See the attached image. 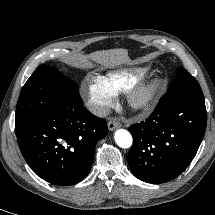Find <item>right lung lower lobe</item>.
I'll list each match as a JSON object with an SVG mask.
<instances>
[{
  "mask_svg": "<svg viewBox=\"0 0 215 215\" xmlns=\"http://www.w3.org/2000/svg\"><path fill=\"white\" fill-rule=\"evenodd\" d=\"M108 128L83 105L78 88L51 101L35 120L16 134L28 165L55 185H73L89 173L98 140Z\"/></svg>",
  "mask_w": 215,
  "mask_h": 215,
  "instance_id": "obj_1",
  "label": "right lung lower lobe"
}]
</instances>
